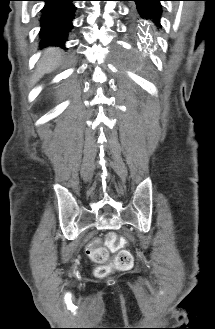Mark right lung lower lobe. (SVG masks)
Listing matches in <instances>:
<instances>
[{
	"mask_svg": "<svg viewBox=\"0 0 215 329\" xmlns=\"http://www.w3.org/2000/svg\"><path fill=\"white\" fill-rule=\"evenodd\" d=\"M45 2L41 10L40 32L41 45L51 44L63 46L69 31L76 7L75 1L79 0H41Z\"/></svg>",
	"mask_w": 215,
	"mask_h": 329,
	"instance_id": "obj_1",
	"label": "right lung lower lobe"
}]
</instances>
